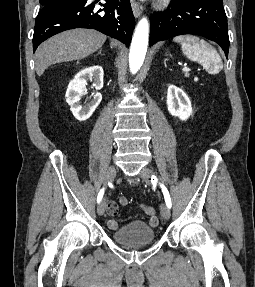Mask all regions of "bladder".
Wrapping results in <instances>:
<instances>
[{
	"instance_id": "obj_1",
	"label": "bladder",
	"mask_w": 255,
	"mask_h": 287,
	"mask_svg": "<svg viewBox=\"0 0 255 287\" xmlns=\"http://www.w3.org/2000/svg\"><path fill=\"white\" fill-rule=\"evenodd\" d=\"M110 237L122 245L149 244L156 239V230L144 221L134 220L111 230Z\"/></svg>"
}]
</instances>
